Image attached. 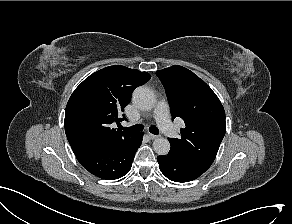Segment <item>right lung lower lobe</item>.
<instances>
[{
  "label": "right lung lower lobe",
  "mask_w": 292,
  "mask_h": 224,
  "mask_svg": "<svg viewBox=\"0 0 292 224\" xmlns=\"http://www.w3.org/2000/svg\"><path fill=\"white\" fill-rule=\"evenodd\" d=\"M143 133H137L126 142L101 144H72V150L80 164L93 175L115 180L126 175L132 166Z\"/></svg>",
  "instance_id": "right-lung-lower-lobe-1"
}]
</instances>
